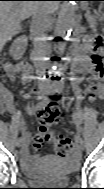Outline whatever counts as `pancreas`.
I'll return each instance as SVG.
<instances>
[{
    "label": "pancreas",
    "mask_w": 104,
    "mask_h": 189,
    "mask_svg": "<svg viewBox=\"0 0 104 189\" xmlns=\"http://www.w3.org/2000/svg\"><path fill=\"white\" fill-rule=\"evenodd\" d=\"M87 18H88L89 21H94L96 16H87Z\"/></svg>",
    "instance_id": "obj_1"
}]
</instances>
